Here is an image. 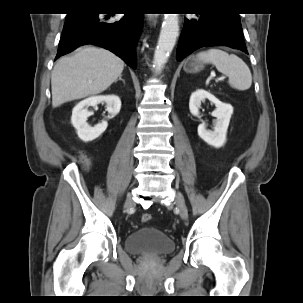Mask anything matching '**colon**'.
I'll return each instance as SVG.
<instances>
[{
  "label": "colon",
  "mask_w": 303,
  "mask_h": 303,
  "mask_svg": "<svg viewBox=\"0 0 303 303\" xmlns=\"http://www.w3.org/2000/svg\"><path fill=\"white\" fill-rule=\"evenodd\" d=\"M83 159H85V157H82ZM151 214L150 213H143L141 215V221L146 223V222H149L151 220Z\"/></svg>",
  "instance_id": "1"
}]
</instances>
